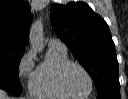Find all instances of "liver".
Returning a JSON list of instances; mask_svg holds the SVG:
<instances>
[{
    "instance_id": "liver-1",
    "label": "liver",
    "mask_w": 128,
    "mask_h": 99,
    "mask_svg": "<svg viewBox=\"0 0 128 99\" xmlns=\"http://www.w3.org/2000/svg\"><path fill=\"white\" fill-rule=\"evenodd\" d=\"M0 99H10V98L7 96L5 91L0 90Z\"/></svg>"
}]
</instances>
